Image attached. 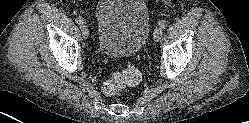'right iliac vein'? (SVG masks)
<instances>
[{
    "label": "right iliac vein",
    "instance_id": "obj_1",
    "mask_svg": "<svg viewBox=\"0 0 249 123\" xmlns=\"http://www.w3.org/2000/svg\"><path fill=\"white\" fill-rule=\"evenodd\" d=\"M81 32H82V36L86 39L89 36V29L87 27V25L83 24L81 26Z\"/></svg>",
    "mask_w": 249,
    "mask_h": 123
}]
</instances>
